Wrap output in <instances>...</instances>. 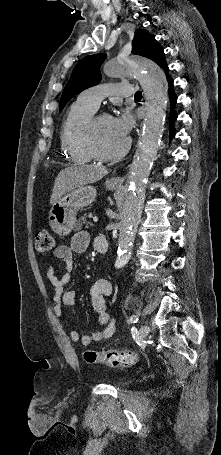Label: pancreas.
Masks as SVG:
<instances>
[{
  "label": "pancreas",
  "mask_w": 221,
  "mask_h": 455,
  "mask_svg": "<svg viewBox=\"0 0 221 455\" xmlns=\"http://www.w3.org/2000/svg\"><path fill=\"white\" fill-rule=\"evenodd\" d=\"M90 216H91V214H89L88 216L85 214L84 216L80 217L78 219V221L76 222V224H75V229L76 230H80L83 225H86L87 228L89 226H91V223L88 222V220H87V218L90 217Z\"/></svg>",
  "instance_id": "1"
}]
</instances>
